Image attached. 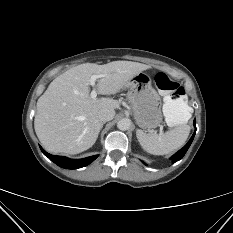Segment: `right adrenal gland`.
Wrapping results in <instances>:
<instances>
[{
  "instance_id": "2a0ac1e0",
  "label": "right adrenal gland",
  "mask_w": 233,
  "mask_h": 233,
  "mask_svg": "<svg viewBox=\"0 0 233 233\" xmlns=\"http://www.w3.org/2000/svg\"><path fill=\"white\" fill-rule=\"evenodd\" d=\"M104 124H105V122L102 123V127H103Z\"/></svg>"
}]
</instances>
